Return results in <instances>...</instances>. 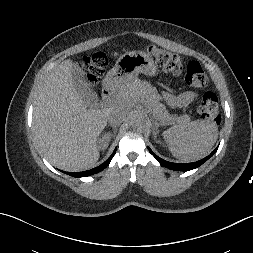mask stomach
<instances>
[{
    "label": "stomach",
    "instance_id": "stomach-1",
    "mask_svg": "<svg viewBox=\"0 0 253 253\" xmlns=\"http://www.w3.org/2000/svg\"><path fill=\"white\" fill-rule=\"evenodd\" d=\"M139 73L155 76L158 73L154 60L143 52H127L119 57L104 79L107 87L118 88L131 81Z\"/></svg>",
    "mask_w": 253,
    "mask_h": 253
}]
</instances>
